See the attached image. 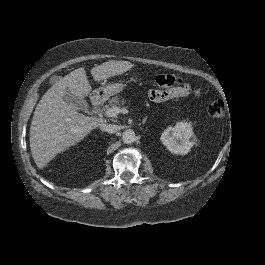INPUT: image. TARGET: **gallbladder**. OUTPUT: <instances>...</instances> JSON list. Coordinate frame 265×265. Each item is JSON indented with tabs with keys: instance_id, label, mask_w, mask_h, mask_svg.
Wrapping results in <instances>:
<instances>
[{
	"instance_id": "1",
	"label": "gallbladder",
	"mask_w": 265,
	"mask_h": 265,
	"mask_svg": "<svg viewBox=\"0 0 265 265\" xmlns=\"http://www.w3.org/2000/svg\"><path fill=\"white\" fill-rule=\"evenodd\" d=\"M62 79L61 76L52 75L49 77V83L51 85L57 83ZM63 100L71 105H73L78 110L88 113L90 111V105L89 103L82 97L78 96L77 94H74L69 87L65 88V94L63 96Z\"/></svg>"
}]
</instances>
